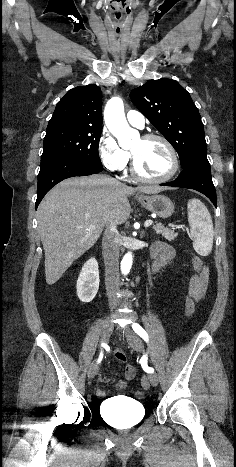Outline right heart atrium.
I'll return each mask as SVG.
<instances>
[{
	"label": "right heart atrium",
	"instance_id": "obj_1",
	"mask_svg": "<svg viewBox=\"0 0 236 467\" xmlns=\"http://www.w3.org/2000/svg\"><path fill=\"white\" fill-rule=\"evenodd\" d=\"M98 153L101 163L110 172H123L130 162V154L107 131L100 136Z\"/></svg>",
	"mask_w": 236,
	"mask_h": 467
}]
</instances>
